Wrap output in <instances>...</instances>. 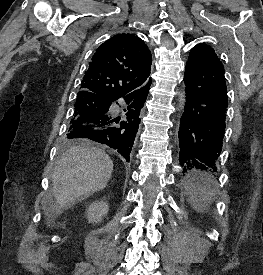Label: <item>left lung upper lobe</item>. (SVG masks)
Listing matches in <instances>:
<instances>
[{
	"mask_svg": "<svg viewBox=\"0 0 263 275\" xmlns=\"http://www.w3.org/2000/svg\"><path fill=\"white\" fill-rule=\"evenodd\" d=\"M194 49L203 50V49H212V48L209 47V46H207V45H205V44H198V45H196L192 50H194ZM192 50H191V51H192Z\"/></svg>",
	"mask_w": 263,
	"mask_h": 275,
	"instance_id": "obj_1",
	"label": "left lung upper lobe"
}]
</instances>
